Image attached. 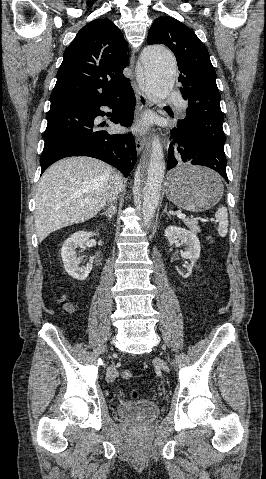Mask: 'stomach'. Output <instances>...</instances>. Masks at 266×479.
I'll use <instances>...</instances> for the list:
<instances>
[{"label": "stomach", "mask_w": 266, "mask_h": 479, "mask_svg": "<svg viewBox=\"0 0 266 479\" xmlns=\"http://www.w3.org/2000/svg\"><path fill=\"white\" fill-rule=\"evenodd\" d=\"M223 189L220 177L212 170L184 164L168 174L166 196L184 210L201 212L221 199Z\"/></svg>", "instance_id": "1"}]
</instances>
